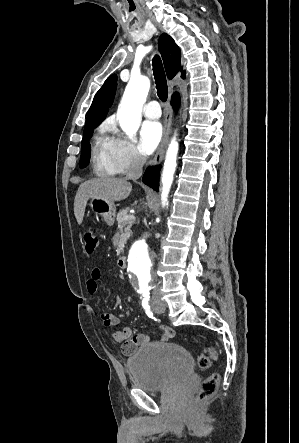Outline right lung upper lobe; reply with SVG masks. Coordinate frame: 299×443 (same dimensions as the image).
Masks as SVG:
<instances>
[{
  "mask_svg": "<svg viewBox=\"0 0 299 443\" xmlns=\"http://www.w3.org/2000/svg\"><path fill=\"white\" fill-rule=\"evenodd\" d=\"M159 51L164 61L167 76L172 79L178 71L182 70L180 49L168 34L163 33L159 38ZM181 77H185V71L182 72ZM116 82L117 76L115 74L111 75L96 93L88 112L85 128L99 125L105 119L108 108L115 96Z\"/></svg>",
  "mask_w": 299,
  "mask_h": 443,
  "instance_id": "obj_1",
  "label": "right lung upper lobe"
}]
</instances>
